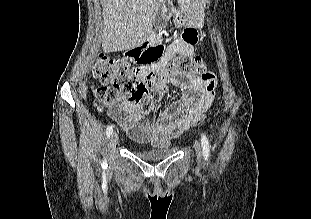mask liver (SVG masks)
Masks as SVG:
<instances>
[{"label":"liver","instance_id":"liver-1","mask_svg":"<svg viewBox=\"0 0 311 219\" xmlns=\"http://www.w3.org/2000/svg\"><path fill=\"white\" fill-rule=\"evenodd\" d=\"M162 0H102L104 52L137 47L149 39ZM207 0H178L180 9L194 21L204 15Z\"/></svg>","mask_w":311,"mask_h":219}]
</instances>
